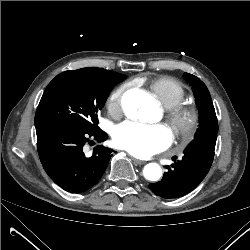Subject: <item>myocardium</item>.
I'll return each mask as SVG.
<instances>
[{
    "label": "myocardium",
    "instance_id": "f54148a6",
    "mask_svg": "<svg viewBox=\"0 0 250 250\" xmlns=\"http://www.w3.org/2000/svg\"><path fill=\"white\" fill-rule=\"evenodd\" d=\"M199 111L184 101L166 109V124L174 136L186 146L194 137L199 125Z\"/></svg>",
    "mask_w": 250,
    "mask_h": 250
}]
</instances>
